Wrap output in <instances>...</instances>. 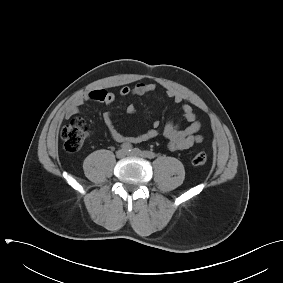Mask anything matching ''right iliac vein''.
Returning a JSON list of instances; mask_svg holds the SVG:
<instances>
[{
    "mask_svg": "<svg viewBox=\"0 0 283 283\" xmlns=\"http://www.w3.org/2000/svg\"><path fill=\"white\" fill-rule=\"evenodd\" d=\"M126 154H127V152H126L125 150H123V149H120V150H118V151L116 152L117 158H123V157L126 156Z\"/></svg>",
    "mask_w": 283,
    "mask_h": 283,
    "instance_id": "right-iliac-vein-1",
    "label": "right iliac vein"
}]
</instances>
